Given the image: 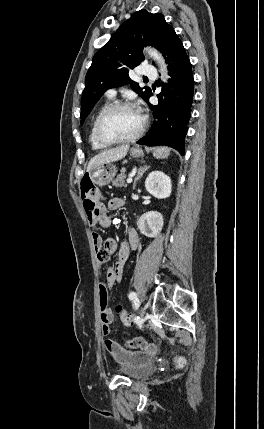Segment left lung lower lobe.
<instances>
[{
    "instance_id": "0a47b994",
    "label": "left lung lower lobe",
    "mask_w": 264,
    "mask_h": 429,
    "mask_svg": "<svg viewBox=\"0 0 264 429\" xmlns=\"http://www.w3.org/2000/svg\"><path fill=\"white\" fill-rule=\"evenodd\" d=\"M161 52L168 63L171 79L168 84L163 85L162 92L158 95L159 105H150L158 118L157 124L137 143L148 146L167 145L184 155V140L194 94L191 63L174 29L168 32Z\"/></svg>"
}]
</instances>
